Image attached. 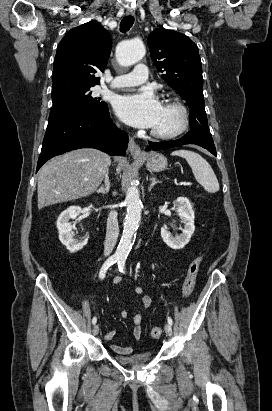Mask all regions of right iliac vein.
<instances>
[{"label":"right iliac vein","mask_w":272,"mask_h":411,"mask_svg":"<svg viewBox=\"0 0 272 411\" xmlns=\"http://www.w3.org/2000/svg\"><path fill=\"white\" fill-rule=\"evenodd\" d=\"M99 333V326L98 325H94L93 327V334L97 335Z\"/></svg>","instance_id":"obj_1"}]
</instances>
